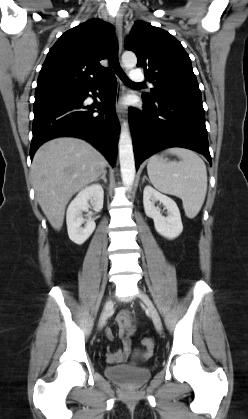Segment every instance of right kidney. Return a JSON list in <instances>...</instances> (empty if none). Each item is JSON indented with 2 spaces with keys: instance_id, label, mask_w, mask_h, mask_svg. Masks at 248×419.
I'll list each match as a JSON object with an SVG mask.
<instances>
[{
  "instance_id": "1",
  "label": "right kidney",
  "mask_w": 248,
  "mask_h": 419,
  "mask_svg": "<svg viewBox=\"0 0 248 419\" xmlns=\"http://www.w3.org/2000/svg\"><path fill=\"white\" fill-rule=\"evenodd\" d=\"M104 190L99 184H92L82 189L72 200L67 209L66 222L69 238L76 244H83L95 230L94 220H87L85 227L82 212L88 210L90 204L95 211L103 208ZM90 203V204H89Z\"/></svg>"
}]
</instances>
